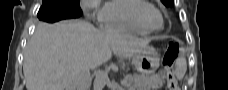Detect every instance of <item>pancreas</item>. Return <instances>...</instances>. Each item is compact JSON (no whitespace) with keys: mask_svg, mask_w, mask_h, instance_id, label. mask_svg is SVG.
<instances>
[{"mask_svg":"<svg viewBox=\"0 0 228 90\" xmlns=\"http://www.w3.org/2000/svg\"><path fill=\"white\" fill-rule=\"evenodd\" d=\"M126 86L130 90H156L163 86L165 80L158 76L127 75Z\"/></svg>","mask_w":228,"mask_h":90,"instance_id":"1","label":"pancreas"}]
</instances>
